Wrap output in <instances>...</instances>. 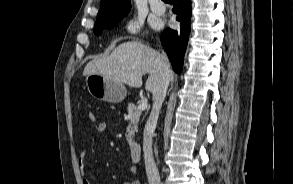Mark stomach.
<instances>
[{
	"label": "stomach",
	"mask_w": 293,
	"mask_h": 184,
	"mask_svg": "<svg viewBox=\"0 0 293 184\" xmlns=\"http://www.w3.org/2000/svg\"><path fill=\"white\" fill-rule=\"evenodd\" d=\"M86 86L92 97L108 103L122 102L127 95V89L122 82L99 74L87 75Z\"/></svg>",
	"instance_id": "0dacf381"
}]
</instances>
